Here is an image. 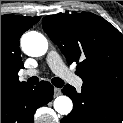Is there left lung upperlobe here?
Masks as SVG:
<instances>
[{
  "label": "left lung upper lobe",
  "instance_id": "5c2ea615",
  "mask_svg": "<svg viewBox=\"0 0 123 123\" xmlns=\"http://www.w3.org/2000/svg\"><path fill=\"white\" fill-rule=\"evenodd\" d=\"M44 31L59 46L83 86L123 95V36L100 16L83 12L47 16Z\"/></svg>",
  "mask_w": 123,
  "mask_h": 123
}]
</instances>
